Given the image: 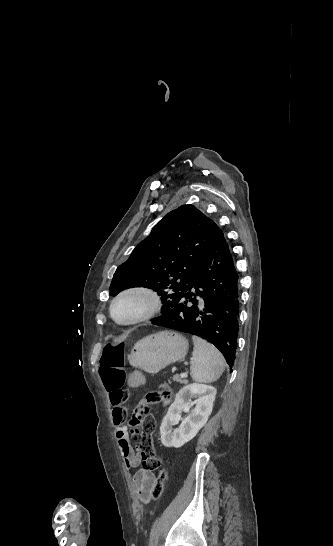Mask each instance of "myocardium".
<instances>
[{
	"label": "myocardium",
	"instance_id": "obj_1",
	"mask_svg": "<svg viewBox=\"0 0 333 546\" xmlns=\"http://www.w3.org/2000/svg\"><path fill=\"white\" fill-rule=\"evenodd\" d=\"M136 297L142 301L141 308L130 318L120 320L115 315L116 306L127 298ZM161 295L152 287L134 285L121 290L111 301L109 314L111 319L119 326H133L152 319L162 309Z\"/></svg>",
	"mask_w": 333,
	"mask_h": 546
}]
</instances>
